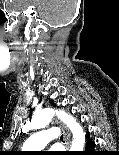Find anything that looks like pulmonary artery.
<instances>
[{"label":"pulmonary artery","mask_w":119,"mask_h":155,"mask_svg":"<svg viewBox=\"0 0 119 155\" xmlns=\"http://www.w3.org/2000/svg\"><path fill=\"white\" fill-rule=\"evenodd\" d=\"M59 136L57 128H49L32 134L23 144V148L29 151L43 149L48 143Z\"/></svg>","instance_id":"e3ab8cb5"}]
</instances>
